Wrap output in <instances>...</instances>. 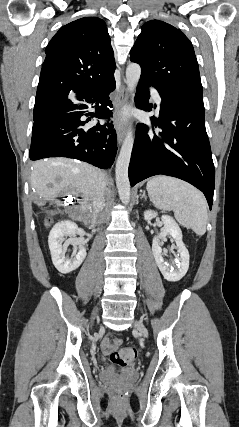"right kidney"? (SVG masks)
Wrapping results in <instances>:
<instances>
[{
	"instance_id": "right-kidney-1",
	"label": "right kidney",
	"mask_w": 239,
	"mask_h": 427,
	"mask_svg": "<svg viewBox=\"0 0 239 427\" xmlns=\"http://www.w3.org/2000/svg\"><path fill=\"white\" fill-rule=\"evenodd\" d=\"M78 231L76 223L66 220L58 222L50 231L48 237L49 249L51 252L52 262L55 268L62 274L70 273L76 270L86 258V249L79 247V251L71 259L65 258L67 245L77 244L75 238ZM71 237L70 241L62 245L65 238Z\"/></svg>"
}]
</instances>
